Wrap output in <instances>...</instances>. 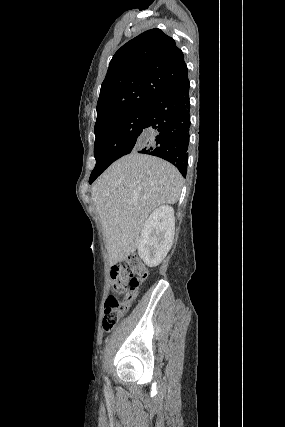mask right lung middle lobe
<instances>
[{
  "mask_svg": "<svg viewBox=\"0 0 285 427\" xmlns=\"http://www.w3.org/2000/svg\"><path fill=\"white\" fill-rule=\"evenodd\" d=\"M146 106L116 115L94 128V156L96 165L91 180L102 173L111 163L129 154L140 143Z\"/></svg>",
  "mask_w": 285,
  "mask_h": 427,
  "instance_id": "dd1d6c3e",
  "label": "right lung middle lobe"
}]
</instances>
